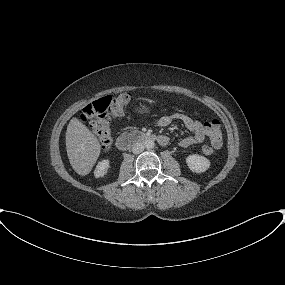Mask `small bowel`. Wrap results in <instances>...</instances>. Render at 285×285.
<instances>
[{"mask_svg":"<svg viewBox=\"0 0 285 285\" xmlns=\"http://www.w3.org/2000/svg\"><path fill=\"white\" fill-rule=\"evenodd\" d=\"M178 120L183 123L185 128L190 132V135L180 140L181 147H189L196 144H201L207 135L205 126L198 120L183 114L173 113L159 118L156 122L158 126L165 127L170 125L173 121Z\"/></svg>","mask_w":285,"mask_h":285,"instance_id":"1","label":"small bowel"}]
</instances>
